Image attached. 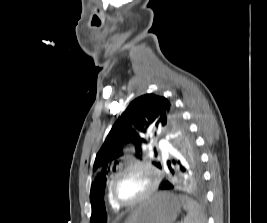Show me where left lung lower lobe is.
<instances>
[{"instance_id":"left-lung-lower-lobe-1","label":"left lung lower lobe","mask_w":267,"mask_h":223,"mask_svg":"<svg viewBox=\"0 0 267 223\" xmlns=\"http://www.w3.org/2000/svg\"><path fill=\"white\" fill-rule=\"evenodd\" d=\"M185 176V177H177ZM203 171H171V173H160L162 183L161 192H176V189H201L200 181Z\"/></svg>"}]
</instances>
